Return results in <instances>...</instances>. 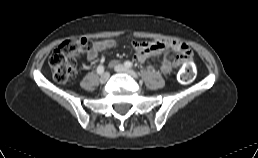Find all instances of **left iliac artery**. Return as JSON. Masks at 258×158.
I'll use <instances>...</instances> for the list:
<instances>
[{"mask_svg": "<svg viewBox=\"0 0 258 158\" xmlns=\"http://www.w3.org/2000/svg\"><path fill=\"white\" fill-rule=\"evenodd\" d=\"M124 65L127 67V68H131L133 66V64L130 62V61H126L124 63Z\"/></svg>", "mask_w": 258, "mask_h": 158, "instance_id": "44dca946", "label": "left iliac artery"}]
</instances>
